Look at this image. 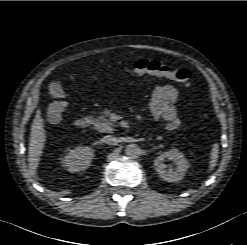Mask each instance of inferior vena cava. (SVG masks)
<instances>
[{
    "label": "inferior vena cava",
    "mask_w": 247,
    "mask_h": 245,
    "mask_svg": "<svg viewBox=\"0 0 247 245\" xmlns=\"http://www.w3.org/2000/svg\"><path fill=\"white\" fill-rule=\"evenodd\" d=\"M102 140L109 145H116L118 143V139L112 135H106Z\"/></svg>",
    "instance_id": "1"
}]
</instances>
